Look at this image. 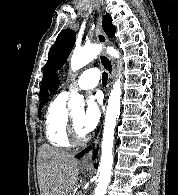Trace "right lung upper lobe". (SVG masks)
<instances>
[{"label":"right lung upper lobe","mask_w":178,"mask_h":195,"mask_svg":"<svg viewBox=\"0 0 178 195\" xmlns=\"http://www.w3.org/2000/svg\"><path fill=\"white\" fill-rule=\"evenodd\" d=\"M59 83H60V82H59L58 76L55 75V77H54V79H53V81H52L51 87H50V91H51L52 93H54V92L58 89ZM48 97H49V94L46 95V97L43 99V101H42V103L39 105V107H40V106H43V103H45V101L48 99Z\"/></svg>","instance_id":"obj_1"}]
</instances>
